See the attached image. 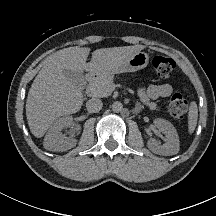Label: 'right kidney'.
I'll return each mask as SVG.
<instances>
[{
  "label": "right kidney",
  "mask_w": 216,
  "mask_h": 216,
  "mask_svg": "<svg viewBox=\"0 0 216 216\" xmlns=\"http://www.w3.org/2000/svg\"><path fill=\"white\" fill-rule=\"evenodd\" d=\"M73 123L72 116H65L56 120L44 138V148L50 151H67L75 147L77 140L65 137L61 132L63 128L70 127Z\"/></svg>",
  "instance_id": "1"
}]
</instances>
